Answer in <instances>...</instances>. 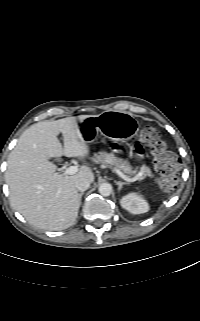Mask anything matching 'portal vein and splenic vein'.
Instances as JSON below:
<instances>
[{
    "mask_svg": "<svg viewBox=\"0 0 200 321\" xmlns=\"http://www.w3.org/2000/svg\"><path fill=\"white\" fill-rule=\"evenodd\" d=\"M79 168L78 166H70L68 168H66L64 170V175H73L76 174L78 172ZM115 173L118 174L123 180L127 181V182H134L136 180H138L141 177V174H137L135 177L130 178L127 175L123 174L120 170L118 169H114Z\"/></svg>",
    "mask_w": 200,
    "mask_h": 321,
    "instance_id": "1",
    "label": "portal vein and splenic vein"
}]
</instances>
